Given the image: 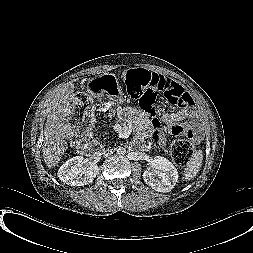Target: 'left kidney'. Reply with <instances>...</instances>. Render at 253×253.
I'll use <instances>...</instances> for the list:
<instances>
[{
    "label": "left kidney",
    "mask_w": 253,
    "mask_h": 253,
    "mask_svg": "<svg viewBox=\"0 0 253 253\" xmlns=\"http://www.w3.org/2000/svg\"><path fill=\"white\" fill-rule=\"evenodd\" d=\"M151 168V171H145L142 175L146 184L158 192L171 191L179 177L175 166L166 158L155 156Z\"/></svg>",
    "instance_id": "1"
}]
</instances>
